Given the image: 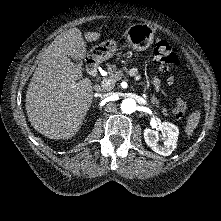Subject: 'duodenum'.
I'll return each mask as SVG.
<instances>
[{
	"label": "duodenum",
	"mask_w": 221,
	"mask_h": 221,
	"mask_svg": "<svg viewBox=\"0 0 221 221\" xmlns=\"http://www.w3.org/2000/svg\"><path fill=\"white\" fill-rule=\"evenodd\" d=\"M97 70V60L95 57H88L86 60V71L90 78H94Z\"/></svg>",
	"instance_id": "410a0bca"
}]
</instances>
